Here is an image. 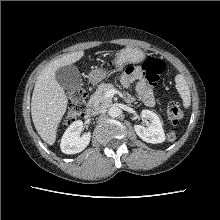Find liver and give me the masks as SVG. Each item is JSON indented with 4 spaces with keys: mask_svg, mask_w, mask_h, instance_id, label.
I'll list each match as a JSON object with an SVG mask.
<instances>
[{
    "mask_svg": "<svg viewBox=\"0 0 220 220\" xmlns=\"http://www.w3.org/2000/svg\"><path fill=\"white\" fill-rule=\"evenodd\" d=\"M83 56L81 50L54 60L42 70L35 83L31 99L32 120L40 137L49 145L56 141L57 128L68 105L67 96L56 80V71Z\"/></svg>",
    "mask_w": 220,
    "mask_h": 220,
    "instance_id": "obj_1",
    "label": "liver"
}]
</instances>
